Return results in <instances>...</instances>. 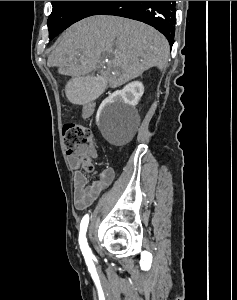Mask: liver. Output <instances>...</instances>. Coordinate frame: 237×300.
Segmentation results:
<instances>
[{
  "mask_svg": "<svg viewBox=\"0 0 237 300\" xmlns=\"http://www.w3.org/2000/svg\"><path fill=\"white\" fill-rule=\"evenodd\" d=\"M57 43L48 57V67H59L60 75L80 76L107 63L106 71L100 73L113 89L151 67L163 71L169 53L167 39L153 27L108 15L75 23Z\"/></svg>",
  "mask_w": 237,
  "mask_h": 300,
  "instance_id": "liver-1",
  "label": "liver"
}]
</instances>
